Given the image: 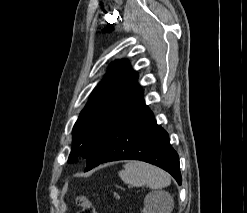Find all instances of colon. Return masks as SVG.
<instances>
[{
    "label": "colon",
    "instance_id": "obj_1",
    "mask_svg": "<svg viewBox=\"0 0 247 213\" xmlns=\"http://www.w3.org/2000/svg\"><path fill=\"white\" fill-rule=\"evenodd\" d=\"M77 204L80 207V213H96L92 202L86 196H79Z\"/></svg>",
    "mask_w": 247,
    "mask_h": 213
}]
</instances>
